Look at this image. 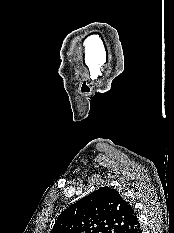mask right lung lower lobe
<instances>
[{
  "mask_svg": "<svg viewBox=\"0 0 174 233\" xmlns=\"http://www.w3.org/2000/svg\"><path fill=\"white\" fill-rule=\"evenodd\" d=\"M137 233H141V229Z\"/></svg>",
  "mask_w": 174,
  "mask_h": 233,
  "instance_id": "obj_1",
  "label": "right lung lower lobe"
}]
</instances>
